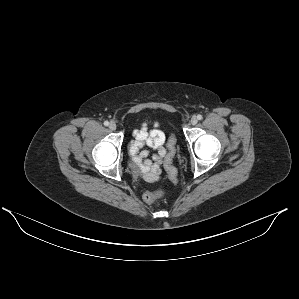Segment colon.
Instances as JSON below:
<instances>
[{
    "label": "colon",
    "mask_w": 299,
    "mask_h": 299,
    "mask_svg": "<svg viewBox=\"0 0 299 299\" xmlns=\"http://www.w3.org/2000/svg\"><path fill=\"white\" fill-rule=\"evenodd\" d=\"M174 148H175V139L172 137L169 141V156L167 163L169 164L171 157L174 154ZM172 177L175 178V174L172 172ZM164 191L162 189H156V190H150L146 191L143 195L144 200L148 204H156L158 203L159 199L163 196Z\"/></svg>",
    "instance_id": "colon-1"
}]
</instances>
